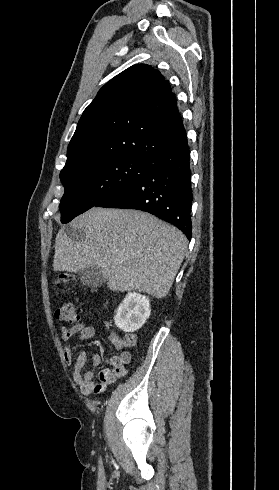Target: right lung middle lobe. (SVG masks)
Segmentation results:
<instances>
[{
    "instance_id": "dd1d6c3e",
    "label": "right lung middle lobe",
    "mask_w": 279,
    "mask_h": 490,
    "mask_svg": "<svg viewBox=\"0 0 279 490\" xmlns=\"http://www.w3.org/2000/svg\"><path fill=\"white\" fill-rule=\"evenodd\" d=\"M151 161L117 157L97 159L75 168L60 179L65 193L60 201L61 222L68 223L107 195L141 177Z\"/></svg>"
}]
</instances>
